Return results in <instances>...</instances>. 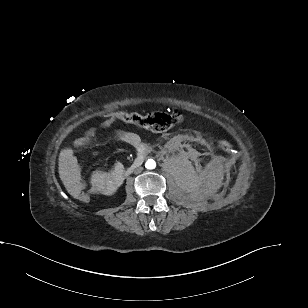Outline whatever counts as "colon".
Masks as SVG:
<instances>
[{
    "label": "colon",
    "mask_w": 308,
    "mask_h": 308,
    "mask_svg": "<svg viewBox=\"0 0 308 308\" xmlns=\"http://www.w3.org/2000/svg\"><path fill=\"white\" fill-rule=\"evenodd\" d=\"M116 118L127 123L135 124L152 132H165L173 128L180 121V113L177 111L152 112L148 114L118 112ZM219 145L225 152L232 151V145L229 141L221 140ZM74 198L81 203L90 201V194L87 191H80L74 195Z\"/></svg>",
    "instance_id": "obj_1"
}]
</instances>
